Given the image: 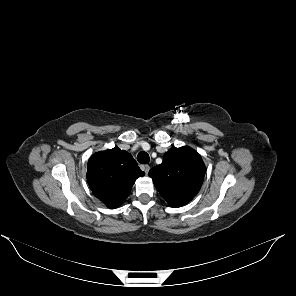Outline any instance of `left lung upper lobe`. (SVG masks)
Masks as SVG:
<instances>
[{
  "label": "left lung upper lobe",
  "mask_w": 296,
  "mask_h": 296,
  "mask_svg": "<svg viewBox=\"0 0 296 296\" xmlns=\"http://www.w3.org/2000/svg\"><path fill=\"white\" fill-rule=\"evenodd\" d=\"M206 168L192 148H170L163 162L149 171L154 185L171 207H180L199 192Z\"/></svg>",
  "instance_id": "obj_1"
}]
</instances>
